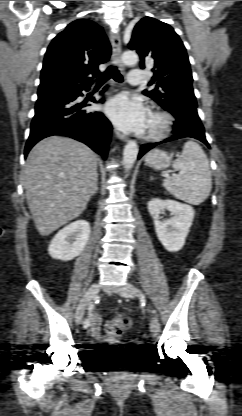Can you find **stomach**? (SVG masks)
<instances>
[{
  "label": "stomach",
  "instance_id": "obj_1",
  "mask_svg": "<svg viewBox=\"0 0 242 416\" xmlns=\"http://www.w3.org/2000/svg\"><path fill=\"white\" fill-rule=\"evenodd\" d=\"M172 155L160 149H153L145 156V163L150 167L162 170L170 165Z\"/></svg>",
  "mask_w": 242,
  "mask_h": 416
}]
</instances>
